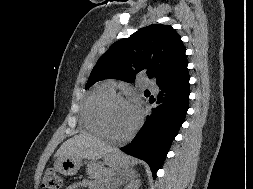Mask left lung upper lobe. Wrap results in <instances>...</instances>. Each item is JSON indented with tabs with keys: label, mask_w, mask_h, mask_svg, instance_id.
Wrapping results in <instances>:
<instances>
[{
	"label": "left lung upper lobe",
	"mask_w": 253,
	"mask_h": 189,
	"mask_svg": "<svg viewBox=\"0 0 253 189\" xmlns=\"http://www.w3.org/2000/svg\"><path fill=\"white\" fill-rule=\"evenodd\" d=\"M180 35L170 26L153 24L114 43L97 61L85 89L115 78L133 82L145 72L158 85L167 81L187 59Z\"/></svg>",
	"instance_id": "obj_1"
}]
</instances>
